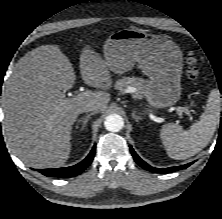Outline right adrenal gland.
<instances>
[{
  "mask_svg": "<svg viewBox=\"0 0 222 219\" xmlns=\"http://www.w3.org/2000/svg\"><path fill=\"white\" fill-rule=\"evenodd\" d=\"M93 114H94V113L92 112V113L86 115L85 117H82V118L79 119L78 122H79V123L82 122V126H81L80 130H83V129L86 127V125H87L90 117H91Z\"/></svg>",
  "mask_w": 222,
  "mask_h": 219,
  "instance_id": "obj_1",
  "label": "right adrenal gland"
}]
</instances>
